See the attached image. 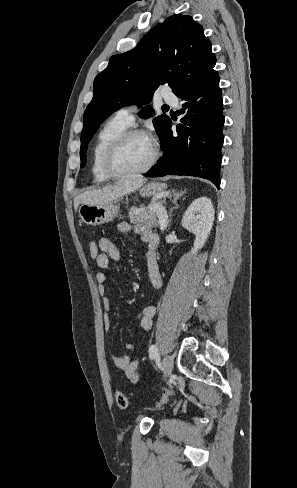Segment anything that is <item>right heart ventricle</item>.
Wrapping results in <instances>:
<instances>
[{"label": "right heart ventricle", "mask_w": 297, "mask_h": 488, "mask_svg": "<svg viewBox=\"0 0 297 488\" xmlns=\"http://www.w3.org/2000/svg\"><path fill=\"white\" fill-rule=\"evenodd\" d=\"M128 128L129 125L124 123L117 116H114L105 123L97 134L91 157V171L95 182L103 183L111 179L103 168V158L111 142Z\"/></svg>", "instance_id": "e07e8e85"}]
</instances>
